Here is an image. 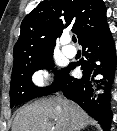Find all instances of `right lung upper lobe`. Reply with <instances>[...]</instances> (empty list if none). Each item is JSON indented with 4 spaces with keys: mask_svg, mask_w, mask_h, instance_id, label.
I'll return each mask as SVG.
<instances>
[{
    "mask_svg": "<svg viewBox=\"0 0 117 131\" xmlns=\"http://www.w3.org/2000/svg\"><path fill=\"white\" fill-rule=\"evenodd\" d=\"M105 27L103 0L43 1L21 23L20 36L13 51V68L51 55L56 39L66 28H72L80 44Z\"/></svg>",
    "mask_w": 117,
    "mask_h": 131,
    "instance_id": "cb5924a9",
    "label": "right lung upper lobe"
}]
</instances>
